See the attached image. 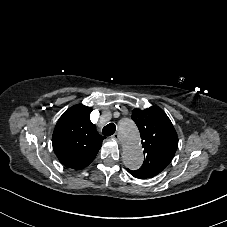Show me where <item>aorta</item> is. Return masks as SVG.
I'll return each mask as SVG.
<instances>
[{
  "label": "aorta",
  "instance_id": "obj_1",
  "mask_svg": "<svg viewBox=\"0 0 227 227\" xmlns=\"http://www.w3.org/2000/svg\"><path fill=\"white\" fill-rule=\"evenodd\" d=\"M119 134L123 144L125 166L131 170L138 169L144 161L138 128L132 120L125 119L119 124Z\"/></svg>",
  "mask_w": 227,
  "mask_h": 227
}]
</instances>
